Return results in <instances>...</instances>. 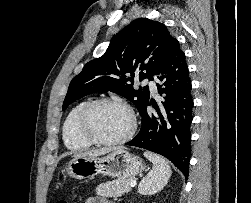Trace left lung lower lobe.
I'll use <instances>...</instances> for the list:
<instances>
[{
    "label": "left lung lower lobe",
    "mask_w": 251,
    "mask_h": 203,
    "mask_svg": "<svg viewBox=\"0 0 251 203\" xmlns=\"http://www.w3.org/2000/svg\"><path fill=\"white\" fill-rule=\"evenodd\" d=\"M157 88L163 95V107L151 100L140 112L142 126L139 133L126 145L150 150L168 158L188 177L191 155V123L193 99L191 81L185 55L176 39L170 53L157 70ZM152 105L156 113L147 107Z\"/></svg>",
    "instance_id": "obj_1"
}]
</instances>
